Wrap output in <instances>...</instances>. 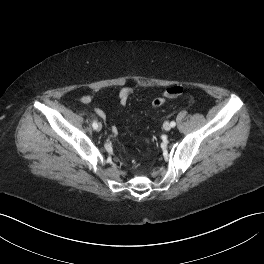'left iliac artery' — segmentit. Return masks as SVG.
Returning <instances> with one entry per match:
<instances>
[{"mask_svg": "<svg viewBox=\"0 0 264 264\" xmlns=\"http://www.w3.org/2000/svg\"><path fill=\"white\" fill-rule=\"evenodd\" d=\"M170 125H171V127H175L176 123H175L174 121H172V122L170 123Z\"/></svg>", "mask_w": 264, "mask_h": 264, "instance_id": "left-iliac-artery-1", "label": "left iliac artery"}]
</instances>
